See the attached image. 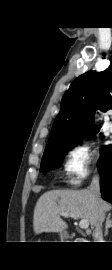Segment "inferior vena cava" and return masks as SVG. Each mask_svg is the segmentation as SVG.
Here are the masks:
<instances>
[{"label":"inferior vena cava","mask_w":112,"mask_h":270,"mask_svg":"<svg viewBox=\"0 0 112 270\" xmlns=\"http://www.w3.org/2000/svg\"><path fill=\"white\" fill-rule=\"evenodd\" d=\"M90 191L92 192L93 196L98 199L100 198V178L99 176H94L91 185ZM104 220V212L100 211L98 214V221L95 226V231L93 233L94 242H103V235H102V223Z\"/></svg>","instance_id":"602c4592"}]
</instances>
